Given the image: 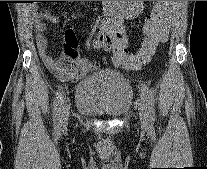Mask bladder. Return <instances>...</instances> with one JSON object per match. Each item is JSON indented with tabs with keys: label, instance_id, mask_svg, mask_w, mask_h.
Returning a JSON list of instances; mask_svg holds the SVG:
<instances>
[{
	"label": "bladder",
	"instance_id": "1",
	"mask_svg": "<svg viewBox=\"0 0 207 169\" xmlns=\"http://www.w3.org/2000/svg\"><path fill=\"white\" fill-rule=\"evenodd\" d=\"M133 90L113 71L103 70L80 81L75 92L76 109L87 115L118 117L128 111Z\"/></svg>",
	"mask_w": 207,
	"mask_h": 169
}]
</instances>
